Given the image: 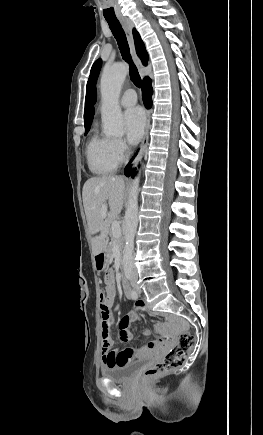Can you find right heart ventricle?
<instances>
[{
    "label": "right heart ventricle",
    "mask_w": 263,
    "mask_h": 435,
    "mask_svg": "<svg viewBox=\"0 0 263 435\" xmlns=\"http://www.w3.org/2000/svg\"><path fill=\"white\" fill-rule=\"evenodd\" d=\"M87 163L95 175L105 176L115 172L118 161L113 154V140L94 128L86 147Z\"/></svg>",
    "instance_id": "1"
}]
</instances>
